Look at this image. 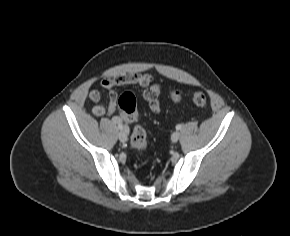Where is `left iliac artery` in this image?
Masks as SVG:
<instances>
[{
    "mask_svg": "<svg viewBox=\"0 0 290 236\" xmlns=\"http://www.w3.org/2000/svg\"><path fill=\"white\" fill-rule=\"evenodd\" d=\"M182 128V126L180 125V124H178L177 126H176V129L177 130H180Z\"/></svg>",
    "mask_w": 290,
    "mask_h": 236,
    "instance_id": "left-iliac-artery-1",
    "label": "left iliac artery"
}]
</instances>
